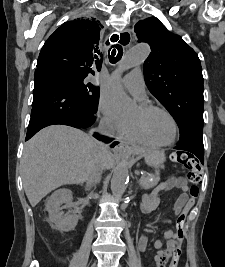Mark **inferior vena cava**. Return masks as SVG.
Returning <instances> with one entry per match:
<instances>
[{
	"label": "inferior vena cava",
	"instance_id": "602c4592",
	"mask_svg": "<svg viewBox=\"0 0 225 267\" xmlns=\"http://www.w3.org/2000/svg\"><path fill=\"white\" fill-rule=\"evenodd\" d=\"M98 132L101 135H105V136H109V137H111L113 135L112 128L105 121H102L100 123ZM97 146H98V155L96 158V163L93 166V168L91 169L90 174H89L88 179H87L88 189H91L100 181L101 173H102V170L104 168V166L101 162V158L108 151L107 145L102 143V142H97Z\"/></svg>",
	"mask_w": 225,
	"mask_h": 267
}]
</instances>
